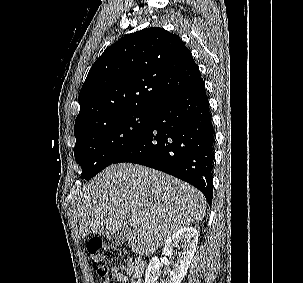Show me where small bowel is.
I'll return each mask as SVG.
<instances>
[{
  "label": "small bowel",
  "mask_w": 303,
  "mask_h": 283,
  "mask_svg": "<svg viewBox=\"0 0 303 283\" xmlns=\"http://www.w3.org/2000/svg\"><path fill=\"white\" fill-rule=\"evenodd\" d=\"M125 270L126 274L121 271ZM143 269L137 265V261L134 262L132 259L127 260L126 265H116L111 270V275L107 277L102 283H110L116 281L117 283H128L129 276L132 277V283H142L141 275Z\"/></svg>",
  "instance_id": "small-bowel-1"
}]
</instances>
